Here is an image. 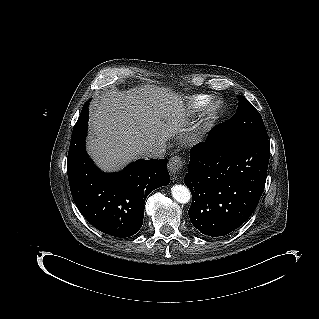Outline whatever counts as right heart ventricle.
<instances>
[{
	"label": "right heart ventricle",
	"instance_id": "e07e8e85",
	"mask_svg": "<svg viewBox=\"0 0 319 319\" xmlns=\"http://www.w3.org/2000/svg\"><path fill=\"white\" fill-rule=\"evenodd\" d=\"M210 100V96L207 94L197 93L188 97V105L192 111H198Z\"/></svg>",
	"mask_w": 319,
	"mask_h": 319
}]
</instances>
